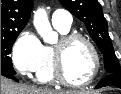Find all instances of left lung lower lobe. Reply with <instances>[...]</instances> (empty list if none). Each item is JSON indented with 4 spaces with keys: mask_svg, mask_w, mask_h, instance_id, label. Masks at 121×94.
I'll list each match as a JSON object with an SVG mask.
<instances>
[{
    "mask_svg": "<svg viewBox=\"0 0 121 94\" xmlns=\"http://www.w3.org/2000/svg\"><path fill=\"white\" fill-rule=\"evenodd\" d=\"M106 86H115L121 88V74H109L108 76L104 77L95 88L97 89Z\"/></svg>",
    "mask_w": 121,
    "mask_h": 94,
    "instance_id": "0a47b994",
    "label": "left lung lower lobe"
}]
</instances>
